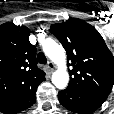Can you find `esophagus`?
<instances>
[{
  "label": "esophagus",
  "instance_id": "esophagus-1",
  "mask_svg": "<svg viewBox=\"0 0 114 114\" xmlns=\"http://www.w3.org/2000/svg\"><path fill=\"white\" fill-rule=\"evenodd\" d=\"M47 68H48L49 72L52 73L55 69V64L52 61H49L47 64Z\"/></svg>",
  "mask_w": 114,
  "mask_h": 114
}]
</instances>
